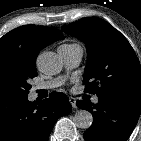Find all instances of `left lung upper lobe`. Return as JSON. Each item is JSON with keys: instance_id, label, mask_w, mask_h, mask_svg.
Wrapping results in <instances>:
<instances>
[{"instance_id": "1", "label": "left lung upper lobe", "mask_w": 141, "mask_h": 141, "mask_svg": "<svg viewBox=\"0 0 141 141\" xmlns=\"http://www.w3.org/2000/svg\"><path fill=\"white\" fill-rule=\"evenodd\" d=\"M87 47L85 92L141 98V66L127 39L108 22L90 17L62 27Z\"/></svg>"}]
</instances>
